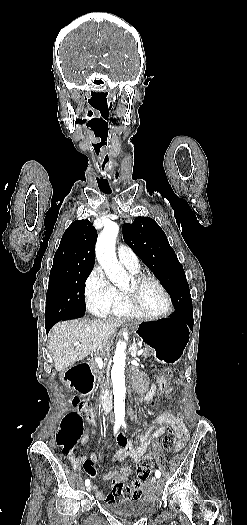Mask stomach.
<instances>
[{
    "mask_svg": "<svg viewBox=\"0 0 247 525\" xmlns=\"http://www.w3.org/2000/svg\"><path fill=\"white\" fill-rule=\"evenodd\" d=\"M135 333L154 350L159 361L169 364H177L181 360L189 341L187 326L171 318L138 323Z\"/></svg>",
    "mask_w": 247,
    "mask_h": 525,
    "instance_id": "0dacf381",
    "label": "stomach"
}]
</instances>
